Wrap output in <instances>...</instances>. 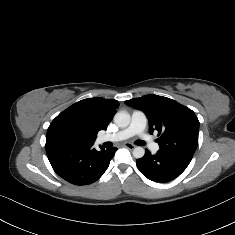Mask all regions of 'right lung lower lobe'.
Returning a JSON list of instances; mask_svg holds the SVG:
<instances>
[{"instance_id":"1","label":"right lung lower lobe","mask_w":235,"mask_h":235,"mask_svg":"<svg viewBox=\"0 0 235 235\" xmlns=\"http://www.w3.org/2000/svg\"><path fill=\"white\" fill-rule=\"evenodd\" d=\"M94 143H69L63 139L46 143V153L54 171L74 185L97 181L107 170L117 148H93Z\"/></svg>"}]
</instances>
